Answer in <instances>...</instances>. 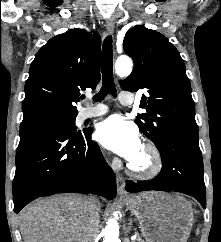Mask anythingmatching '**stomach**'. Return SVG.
Segmentation results:
<instances>
[{
  "label": "stomach",
  "instance_id": "1",
  "mask_svg": "<svg viewBox=\"0 0 221 242\" xmlns=\"http://www.w3.org/2000/svg\"><path fill=\"white\" fill-rule=\"evenodd\" d=\"M139 220L146 242H186L193 224V210L182 196L145 192L124 200Z\"/></svg>",
  "mask_w": 221,
  "mask_h": 242
}]
</instances>
